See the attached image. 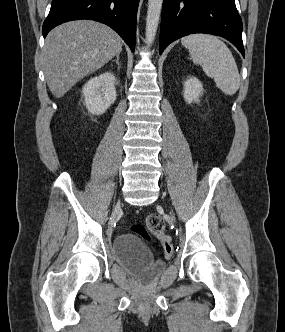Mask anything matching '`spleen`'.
I'll list each match as a JSON object with an SVG mask.
<instances>
[{"instance_id": "1", "label": "spleen", "mask_w": 285, "mask_h": 332, "mask_svg": "<svg viewBox=\"0 0 285 332\" xmlns=\"http://www.w3.org/2000/svg\"><path fill=\"white\" fill-rule=\"evenodd\" d=\"M181 43L189 52L193 63L202 66L208 77L226 95H233L240 87V75L235 59L218 37L209 34H191Z\"/></svg>"}]
</instances>
